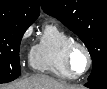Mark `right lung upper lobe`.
<instances>
[{
	"instance_id": "obj_1",
	"label": "right lung upper lobe",
	"mask_w": 107,
	"mask_h": 89,
	"mask_svg": "<svg viewBox=\"0 0 107 89\" xmlns=\"http://www.w3.org/2000/svg\"><path fill=\"white\" fill-rule=\"evenodd\" d=\"M39 13L38 0H0V21L30 26Z\"/></svg>"
}]
</instances>
